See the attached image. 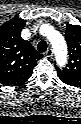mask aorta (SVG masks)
Segmentation results:
<instances>
[{
	"label": "aorta",
	"instance_id": "obj_1",
	"mask_svg": "<svg viewBox=\"0 0 81 124\" xmlns=\"http://www.w3.org/2000/svg\"><path fill=\"white\" fill-rule=\"evenodd\" d=\"M46 29L48 40L54 49L56 61L59 65H64L67 61V46L65 40L62 35L52 27L46 26Z\"/></svg>",
	"mask_w": 81,
	"mask_h": 124
}]
</instances>
